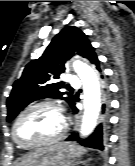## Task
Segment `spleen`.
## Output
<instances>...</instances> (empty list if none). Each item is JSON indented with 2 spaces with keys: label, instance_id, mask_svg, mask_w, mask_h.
Returning <instances> with one entry per match:
<instances>
[{
  "label": "spleen",
  "instance_id": "spleen-1",
  "mask_svg": "<svg viewBox=\"0 0 135 166\" xmlns=\"http://www.w3.org/2000/svg\"><path fill=\"white\" fill-rule=\"evenodd\" d=\"M77 157H80L82 154L85 153V149H82V148H77Z\"/></svg>",
  "mask_w": 135,
  "mask_h": 166
}]
</instances>
